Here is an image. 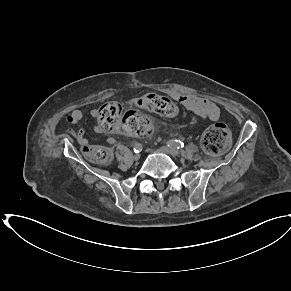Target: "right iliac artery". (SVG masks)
Segmentation results:
<instances>
[{
    "mask_svg": "<svg viewBox=\"0 0 291 291\" xmlns=\"http://www.w3.org/2000/svg\"><path fill=\"white\" fill-rule=\"evenodd\" d=\"M142 150V145L140 143H136L134 146V152L139 153Z\"/></svg>",
    "mask_w": 291,
    "mask_h": 291,
    "instance_id": "1",
    "label": "right iliac artery"
}]
</instances>
